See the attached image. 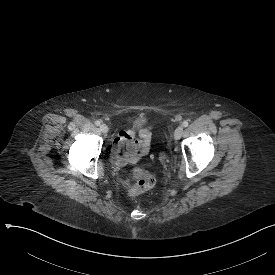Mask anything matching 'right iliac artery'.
Instances as JSON below:
<instances>
[{
	"mask_svg": "<svg viewBox=\"0 0 275 275\" xmlns=\"http://www.w3.org/2000/svg\"><path fill=\"white\" fill-rule=\"evenodd\" d=\"M101 122L99 120L95 121L96 126H100Z\"/></svg>",
	"mask_w": 275,
	"mask_h": 275,
	"instance_id": "82829eb1",
	"label": "right iliac artery"
}]
</instances>
